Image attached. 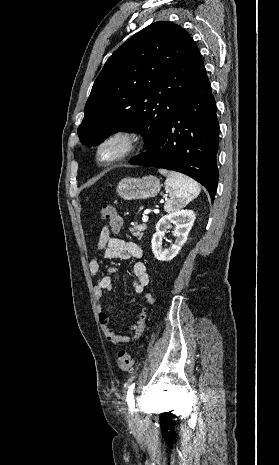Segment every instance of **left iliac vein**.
I'll use <instances>...</instances> for the list:
<instances>
[{"label": "left iliac vein", "mask_w": 279, "mask_h": 465, "mask_svg": "<svg viewBox=\"0 0 279 465\" xmlns=\"http://www.w3.org/2000/svg\"><path fill=\"white\" fill-rule=\"evenodd\" d=\"M138 422V416L136 413H132L130 416H129V423L131 425H134Z\"/></svg>", "instance_id": "left-iliac-vein-1"}]
</instances>
